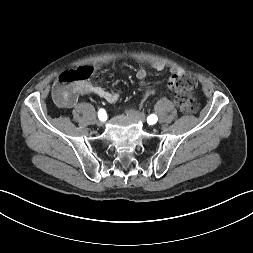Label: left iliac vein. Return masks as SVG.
Here are the masks:
<instances>
[{
  "instance_id": "4c4485c4",
  "label": "left iliac vein",
  "mask_w": 253,
  "mask_h": 253,
  "mask_svg": "<svg viewBox=\"0 0 253 253\" xmlns=\"http://www.w3.org/2000/svg\"><path fill=\"white\" fill-rule=\"evenodd\" d=\"M128 115L141 121V122H145V116L144 114L140 113V112H137L135 110H128Z\"/></svg>"
}]
</instances>
